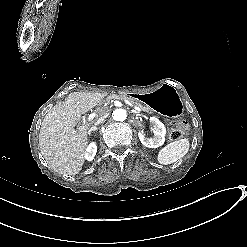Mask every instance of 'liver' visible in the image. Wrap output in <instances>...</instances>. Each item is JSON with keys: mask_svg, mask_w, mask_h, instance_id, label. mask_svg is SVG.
<instances>
[{"mask_svg": "<svg viewBox=\"0 0 247 247\" xmlns=\"http://www.w3.org/2000/svg\"><path fill=\"white\" fill-rule=\"evenodd\" d=\"M105 92L74 91L65 102L47 112L41 123L39 146L52 171L64 177L76 176L86 161L90 124L76 125L82 116L101 105ZM99 115H96L97 121Z\"/></svg>", "mask_w": 247, "mask_h": 247, "instance_id": "obj_1", "label": "liver"}]
</instances>
